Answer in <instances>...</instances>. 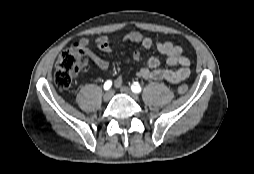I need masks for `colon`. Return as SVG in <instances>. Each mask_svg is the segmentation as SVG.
<instances>
[{"instance_id":"colon-1","label":"colon","mask_w":254,"mask_h":174,"mask_svg":"<svg viewBox=\"0 0 254 174\" xmlns=\"http://www.w3.org/2000/svg\"><path fill=\"white\" fill-rule=\"evenodd\" d=\"M88 62V53L80 45L74 44L65 49L58 57L55 71L54 82L60 89H67L71 86L76 73ZM188 86L181 84L178 91L186 93Z\"/></svg>"}]
</instances>
